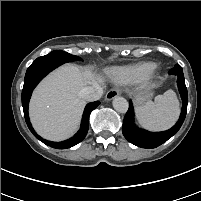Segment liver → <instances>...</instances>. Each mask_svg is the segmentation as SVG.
<instances>
[{"label": "liver", "instance_id": "6515ba94", "mask_svg": "<svg viewBox=\"0 0 201 201\" xmlns=\"http://www.w3.org/2000/svg\"><path fill=\"white\" fill-rule=\"evenodd\" d=\"M103 82V77L92 68L72 64L49 74L34 90L29 105V116L37 133L53 141L72 136L86 104L84 88Z\"/></svg>", "mask_w": 201, "mask_h": 201}]
</instances>
